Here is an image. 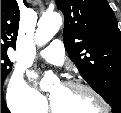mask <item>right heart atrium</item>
<instances>
[{
	"mask_svg": "<svg viewBox=\"0 0 121 113\" xmlns=\"http://www.w3.org/2000/svg\"><path fill=\"white\" fill-rule=\"evenodd\" d=\"M6 100L16 113H41L45 99L25 80L21 71H15L7 88Z\"/></svg>",
	"mask_w": 121,
	"mask_h": 113,
	"instance_id": "obj_1",
	"label": "right heart atrium"
}]
</instances>
